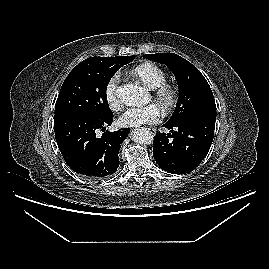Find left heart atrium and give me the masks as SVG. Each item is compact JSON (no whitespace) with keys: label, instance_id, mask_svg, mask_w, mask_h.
I'll return each instance as SVG.
<instances>
[{"label":"left heart atrium","instance_id":"39dd6f15","mask_svg":"<svg viewBox=\"0 0 269 269\" xmlns=\"http://www.w3.org/2000/svg\"><path fill=\"white\" fill-rule=\"evenodd\" d=\"M160 108L152 103L144 107H130L118 119L122 127H136L159 120Z\"/></svg>","mask_w":269,"mask_h":269}]
</instances>
